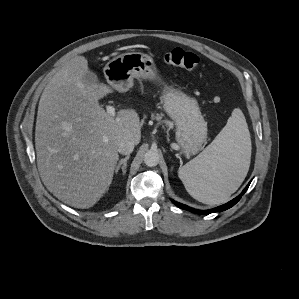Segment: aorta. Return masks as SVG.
Returning a JSON list of instances; mask_svg holds the SVG:
<instances>
[{"instance_id": "762f6f07", "label": "aorta", "mask_w": 299, "mask_h": 299, "mask_svg": "<svg viewBox=\"0 0 299 299\" xmlns=\"http://www.w3.org/2000/svg\"><path fill=\"white\" fill-rule=\"evenodd\" d=\"M144 162L149 167H154L159 163V154L157 151L149 150L144 155Z\"/></svg>"}]
</instances>
